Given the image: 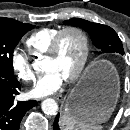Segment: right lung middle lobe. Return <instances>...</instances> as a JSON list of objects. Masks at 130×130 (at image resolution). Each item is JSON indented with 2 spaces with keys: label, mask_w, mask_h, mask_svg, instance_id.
Returning <instances> with one entry per match:
<instances>
[{
  "label": "right lung middle lobe",
  "mask_w": 130,
  "mask_h": 130,
  "mask_svg": "<svg viewBox=\"0 0 130 130\" xmlns=\"http://www.w3.org/2000/svg\"><path fill=\"white\" fill-rule=\"evenodd\" d=\"M35 26L16 20L0 18V74L15 79L13 50L24 34Z\"/></svg>",
  "instance_id": "right-lung-middle-lobe-1"
}]
</instances>
